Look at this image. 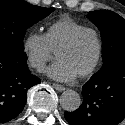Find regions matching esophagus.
I'll return each mask as SVG.
<instances>
[{"instance_id": "1", "label": "esophagus", "mask_w": 125, "mask_h": 125, "mask_svg": "<svg viewBox=\"0 0 125 125\" xmlns=\"http://www.w3.org/2000/svg\"><path fill=\"white\" fill-rule=\"evenodd\" d=\"M53 87L57 90V91H64L65 90V87L63 85H60V84H57V83H54L53 84Z\"/></svg>"}]
</instances>
